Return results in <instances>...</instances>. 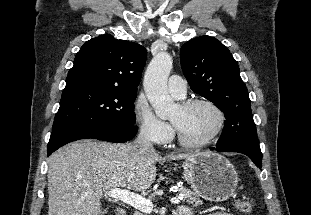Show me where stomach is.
<instances>
[{
  "label": "stomach",
  "instance_id": "obj_1",
  "mask_svg": "<svg viewBox=\"0 0 311 215\" xmlns=\"http://www.w3.org/2000/svg\"><path fill=\"white\" fill-rule=\"evenodd\" d=\"M182 167L184 180L203 199L222 202L234 195L239 178L224 156L199 152L186 159Z\"/></svg>",
  "mask_w": 311,
  "mask_h": 215
}]
</instances>
